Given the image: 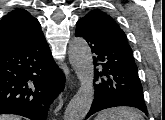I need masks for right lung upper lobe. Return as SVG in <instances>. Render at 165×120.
Instances as JSON below:
<instances>
[{
    "instance_id": "cb5924a9",
    "label": "right lung upper lobe",
    "mask_w": 165,
    "mask_h": 120,
    "mask_svg": "<svg viewBox=\"0 0 165 120\" xmlns=\"http://www.w3.org/2000/svg\"><path fill=\"white\" fill-rule=\"evenodd\" d=\"M43 35L40 23L28 11L13 10L0 21V51L39 39Z\"/></svg>"
}]
</instances>
